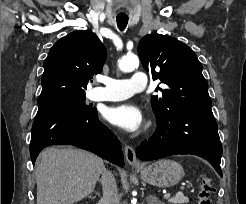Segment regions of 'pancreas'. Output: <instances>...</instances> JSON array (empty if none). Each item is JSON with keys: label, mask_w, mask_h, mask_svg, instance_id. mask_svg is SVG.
<instances>
[{"label": "pancreas", "mask_w": 246, "mask_h": 204, "mask_svg": "<svg viewBox=\"0 0 246 204\" xmlns=\"http://www.w3.org/2000/svg\"><path fill=\"white\" fill-rule=\"evenodd\" d=\"M188 202H189L188 197H185L184 195H176L171 199L172 204H184Z\"/></svg>", "instance_id": "1"}]
</instances>
